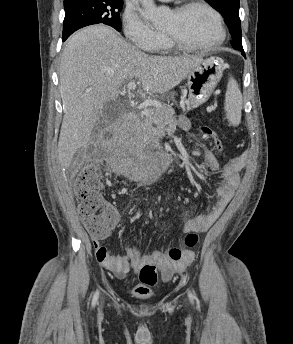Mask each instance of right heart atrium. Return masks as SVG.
<instances>
[{
	"instance_id": "obj_1",
	"label": "right heart atrium",
	"mask_w": 293,
	"mask_h": 344,
	"mask_svg": "<svg viewBox=\"0 0 293 344\" xmlns=\"http://www.w3.org/2000/svg\"><path fill=\"white\" fill-rule=\"evenodd\" d=\"M122 25L126 39L137 50L152 51L163 36L131 9L125 10Z\"/></svg>"
}]
</instances>
